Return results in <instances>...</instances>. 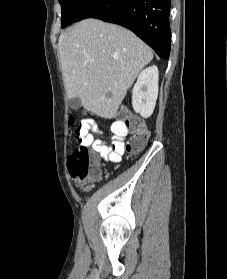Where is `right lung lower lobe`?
Segmentation results:
<instances>
[{"mask_svg":"<svg viewBox=\"0 0 227 279\" xmlns=\"http://www.w3.org/2000/svg\"><path fill=\"white\" fill-rule=\"evenodd\" d=\"M170 0H86L73 22L96 18L124 26L168 59L171 45Z\"/></svg>","mask_w":227,"mask_h":279,"instance_id":"obj_1","label":"right lung lower lobe"}]
</instances>
